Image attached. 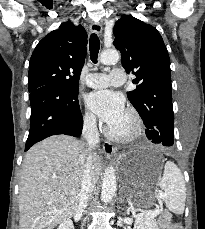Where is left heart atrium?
Instances as JSON below:
<instances>
[{"mask_svg": "<svg viewBox=\"0 0 205 229\" xmlns=\"http://www.w3.org/2000/svg\"><path fill=\"white\" fill-rule=\"evenodd\" d=\"M88 108L109 127L121 120L125 114L124 98L111 90H99L87 96Z\"/></svg>", "mask_w": 205, "mask_h": 229, "instance_id": "left-heart-atrium-1", "label": "left heart atrium"}]
</instances>
